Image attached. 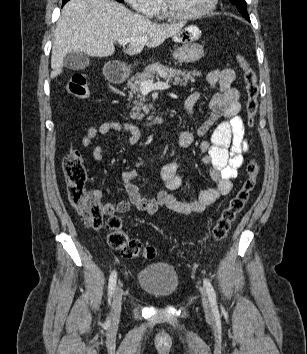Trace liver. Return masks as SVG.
<instances>
[{
  "mask_svg": "<svg viewBox=\"0 0 307 354\" xmlns=\"http://www.w3.org/2000/svg\"><path fill=\"white\" fill-rule=\"evenodd\" d=\"M185 22L156 24L135 14L114 0H70L57 22L51 55L53 79L62 73L64 57L71 52L108 57L115 52L119 38H129L124 50L140 53L145 46L154 48L176 35Z\"/></svg>",
  "mask_w": 307,
  "mask_h": 354,
  "instance_id": "6515ba94",
  "label": "liver"
}]
</instances>
